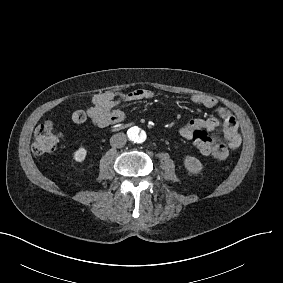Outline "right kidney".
<instances>
[{"mask_svg":"<svg viewBox=\"0 0 283 283\" xmlns=\"http://www.w3.org/2000/svg\"><path fill=\"white\" fill-rule=\"evenodd\" d=\"M87 151L85 148L81 147L74 153V159L77 162H83L85 160Z\"/></svg>","mask_w":283,"mask_h":283,"instance_id":"ca27d5eb","label":"right kidney"}]
</instances>
